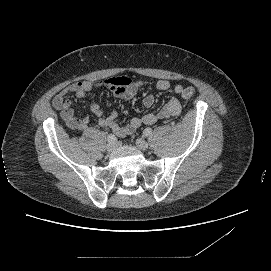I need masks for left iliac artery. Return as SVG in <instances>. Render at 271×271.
<instances>
[{
  "label": "left iliac artery",
  "instance_id": "obj_1",
  "mask_svg": "<svg viewBox=\"0 0 271 271\" xmlns=\"http://www.w3.org/2000/svg\"><path fill=\"white\" fill-rule=\"evenodd\" d=\"M143 133H144L145 136H150L152 134V129L151 128H146Z\"/></svg>",
  "mask_w": 271,
  "mask_h": 271
}]
</instances>
